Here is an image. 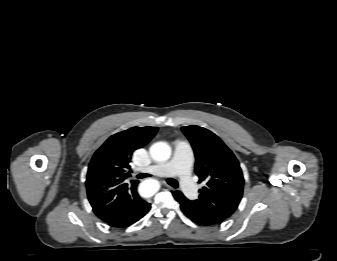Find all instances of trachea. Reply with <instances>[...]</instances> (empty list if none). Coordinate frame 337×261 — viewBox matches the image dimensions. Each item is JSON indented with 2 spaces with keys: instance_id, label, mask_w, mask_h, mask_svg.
<instances>
[{
  "instance_id": "1",
  "label": "trachea",
  "mask_w": 337,
  "mask_h": 261,
  "mask_svg": "<svg viewBox=\"0 0 337 261\" xmlns=\"http://www.w3.org/2000/svg\"><path fill=\"white\" fill-rule=\"evenodd\" d=\"M149 176H151V175H149V174H139V175H137V178L143 179V178H146V177H149ZM167 183L174 188L178 187V182L175 179H168Z\"/></svg>"
}]
</instances>
